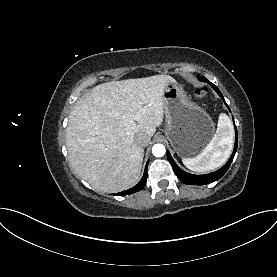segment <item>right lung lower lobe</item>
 Masks as SVG:
<instances>
[{
	"label": "right lung lower lobe",
	"mask_w": 277,
	"mask_h": 277,
	"mask_svg": "<svg viewBox=\"0 0 277 277\" xmlns=\"http://www.w3.org/2000/svg\"><path fill=\"white\" fill-rule=\"evenodd\" d=\"M147 166H148V163L146 164V168H145L143 177H142V179L140 180V182H139L136 186H134L133 188L118 193V195H130V194H133V193H135V192H138V191L142 190V189L145 187V185H146V180H147Z\"/></svg>",
	"instance_id": "obj_1"
}]
</instances>
